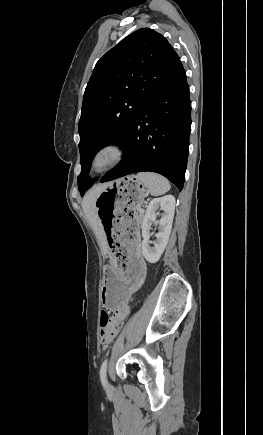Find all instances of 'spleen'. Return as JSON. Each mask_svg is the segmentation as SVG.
Segmentation results:
<instances>
[{
  "mask_svg": "<svg viewBox=\"0 0 263 435\" xmlns=\"http://www.w3.org/2000/svg\"><path fill=\"white\" fill-rule=\"evenodd\" d=\"M137 178L148 188L153 196L165 194L171 188L166 178L153 172H140L137 174Z\"/></svg>",
  "mask_w": 263,
  "mask_h": 435,
  "instance_id": "3e777b00",
  "label": "spleen"
}]
</instances>
